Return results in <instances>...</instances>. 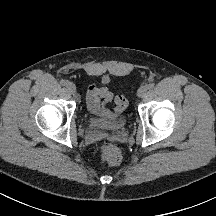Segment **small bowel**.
Listing matches in <instances>:
<instances>
[{
    "label": "small bowel",
    "mask_w": 216,
    "mask_h": 216,
    "mask_svg": "<svg viewBox=\"0 0 216 216\" xmlns=\"http://www.w3.org/2000/svg\"><path fill=\"white\" fill-rule=\"evenodd\" d=\"M107 81L105 79L101 86L89 85L86 93V102L88 110L92 114L98 117L114 119L115 112L106 107V104L111 103L113 100V93L106 85Z\"/></svg>",
    "instance_id": "obj_1"
}]
</instances>
